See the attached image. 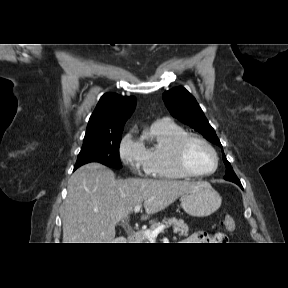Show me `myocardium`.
<instances>
[{
  "instance_id": "1",
  "label": "myocardium",
  "mask_w": 288,
  "mask_h": 288,
  "mask_svg": "<svg viewBox=\"0 0 288 288\" xmlns=\"http://www.w3.org/2000/svg\"><path fill=\"white\" fill-rule=\"evenodd\" d=\"M191 142H198L207 147L213 154L215 166L212 171L201 173L194 171L186 162V150ZM173 159L177 168L189 177H208L216 173L219 167V156L215 148L204 138L195 134H185L180 137L173 146Z\"/></svg>"
}]
</instances>
